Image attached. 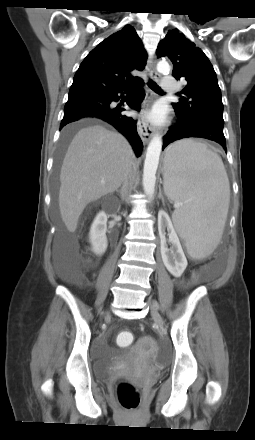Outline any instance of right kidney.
<instances>
[{"label": "right kidney", "mask_w": 255, "mask_h": 440, "mask_svg": "<svg viewBox=\"0 0 255 440\" xmlns=\"http://www.w3.org/2000/svg\"><path fill=\"white\" fill-rule=\"evenodd\" d=\"M107 215L101 211L95 217L90 229V242L96 255H102L107 249Z\"/></svg>", "instance_id": "right-kidney-1"}]
</instances>
